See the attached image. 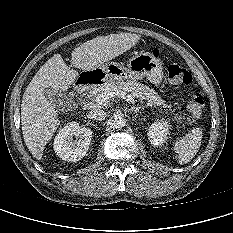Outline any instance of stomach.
I'll return each mask as SVG.
<instances>
[{"label":"stomach","instance_id":"0dacf381","mask_svg":"<svg viewBox=\"0 0 233 233\" xmlns=\"http://www.w3.org/2000/svg\"><path fill=\"white\" fill-rule=\"evenodd\" d=\"M101 82L128 81L146 79L158 86L163 80L161 61L150 53L136 54L129 59L127 66L116 62H108L93 71H83Z\"/></svg>","mask_w":233,"mask_h":233}]
</instances>
